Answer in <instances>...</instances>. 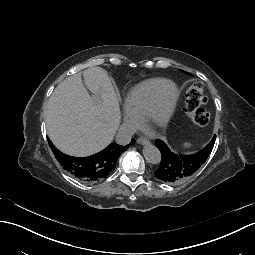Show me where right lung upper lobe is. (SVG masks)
Masks as SVG:
<instances>
[{"instance_id": "obj_1", "label": "right lung upper lobe", "mask_w": 255, "mask_h": 255, "mask_svg": "<svg viewBox=\"0 0 255 255\" xmlns=\"http://www.w3.org/2000/svg\"><path fill=\"white\" fill-rule=\"evenodd\" d=\"M49 146L53 151L55 157L65 170L83 180L85 182H96L107 177L116 167L117 160L126 149L133 144L122 146L119 144L112 143L108 145L104 150L93 154L94 158L100 160V171L98 173L85 172L83 170V157H73L66 155L59 151L53 143L48 140Z\"/></svg>"}]
</instances>
